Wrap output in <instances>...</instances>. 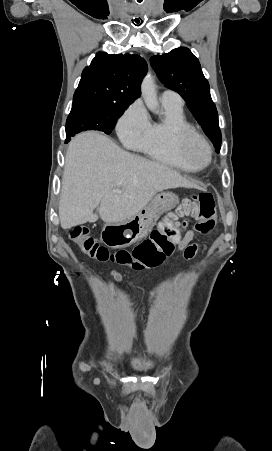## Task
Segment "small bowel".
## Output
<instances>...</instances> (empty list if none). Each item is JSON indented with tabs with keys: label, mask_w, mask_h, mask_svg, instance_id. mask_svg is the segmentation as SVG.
<instances>
[{
	"label": "small bowel",
	"mask_w": 272,
	"mask_h": 451,
	"mask_svg": "<svg viewBox=\"0 0 272 451\" xmlns=\"http://www.w3.org/2000/svg\"><path fill=\"white\" fill-rule=\"evenodd\" d=\"M186 227L187 223L184 222L182 224L184 235L177 245V251L181 253L185 259L190 260L196 255L198 251V245L193 242L195 238V231L192 229H187ZM110 275L117 283L124 284L126 288H129L133 283V278L124 281L121 273L115 269H110Z\"/></svg>",
	"instance_id": "obj_1"
}]
</instances>
